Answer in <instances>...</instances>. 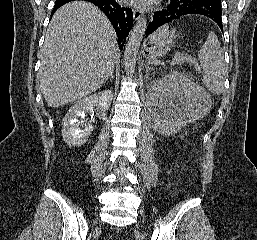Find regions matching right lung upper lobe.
<instances>
[{"instance_id": "right-lung-upper-lobe-1", "label": "right lung upper lobe", "mask_w": 257, "mask_h": 240, "mask_svg": "<svg viewBox=\"0 0 257 240\" xmlns=\"http://www.w3.org/2000/svg\"><path fill=\"white\" fill-rule=\"evenodd\" d=\"M58 1V4H60V2H64V1H68V0H56Z\"/></svg>"}]
</instances>
